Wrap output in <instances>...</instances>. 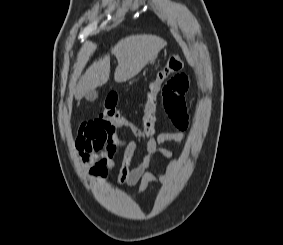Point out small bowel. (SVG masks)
I'll return each instance as SVG.
<instances>
[{"instance_id": "1", "label": "small bowel", "mask_w": 283, "mask_h": 245, "mask_svg": "<svg viewBox=\"0 0 283 245\" xmlns=\"http://www.w3.org/2000/svg\"><path fill=\"white\" fill-rule=\"evenodd\" d=\"M189 88V78L185 73H177L163 84L160 99L162 105L178 129L177 132L160 133L148 140L145 155L141 161L132 166L137 142L123 139L118 129L99 118L81 124L75 141L76 150L87 166L89 175L97 179H105L115 166L119 150L123 149L121 168L117 177L119 185L129 187L138 184L139 192H144L150 184L165 183L177 173L178 161L172 152L163 147L165 143H182L186 140L185 131L189 125L184 95ZM169 159L163 173L151 169L154 156Z\"/></svg>"}]
</instances>
